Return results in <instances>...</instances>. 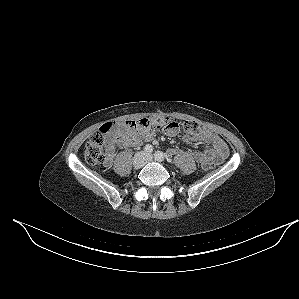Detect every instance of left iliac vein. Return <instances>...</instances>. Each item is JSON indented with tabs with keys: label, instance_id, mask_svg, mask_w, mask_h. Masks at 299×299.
Instances as JSON below:
<instances>
[{
	"label": "left iliac vein",
	"instance_id": "1",
	"mask_svg": "<svg viewBox=\"0 0 299 299\" xmlns=\"http://www.w3.org/2000/svg\"><path fill=\"white\" fill-rule=\"evenodd\" d=\"M146 161H147V162H151V161H153V157H152V155L148 154V155L146 156ZM160 162H161V161H160Z\"/></svg>",
	"mask_w": 299,
	"mask_h": 299
}]
</instances>
